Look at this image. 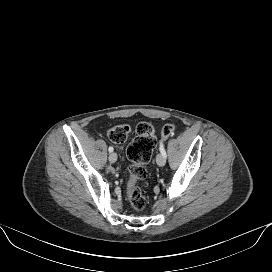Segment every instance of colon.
Returning a JSON list of instances; mask_svg holds the SVG:
<instances>
[{
	"label": "colon",
	"instance_id": "5ec220e1",
	"mask_svg": "<svg viewBox=\"0 0 272 272\" xmlns=\"http://www.w3.org/2000/svg\"><path fill=\"white\" fill-rule=\"evenodd\" d=\"M175 126L166 124L161 131L162 138H168L173 134ZM131 128L127 124L118 125L111 128L107 135L114 143H123ZM136 137L127 148V157L131 161L129 166V179L126 186L127 199L136 211H143L146 207V197L138 183L147 177V164L156 146V137L153 126L148 122H140L135 127Z\"/></svg>",
	"mask_w": 272,
	"mask_h": 272
}]
</instances>
